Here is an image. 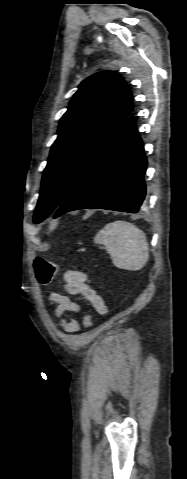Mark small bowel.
Instances as JSON below:
<instances>
[{
	"label": "small bowel",
	"instance_id": "1",
	"mask_svg": "<svg viewBox=\"0 0 187 479\" xmlns=\"http://www.w3.org/2000/svg\"><path fill=\"white\" fill-rule=\"evenodd\" d=\"M65 291L70 295L83 296L100 314L107 312L106 305L97 290L87 284V275L78 270H69L64 274ZM49 302L56 304L55 316L59 319V327L65 332H75L79 329L77 320L71 313L80 311V305L69 296L60 293H50Z\"/></svg>",
	"mask_w": 187,
	"mask_h": 479
}]
</instances>
